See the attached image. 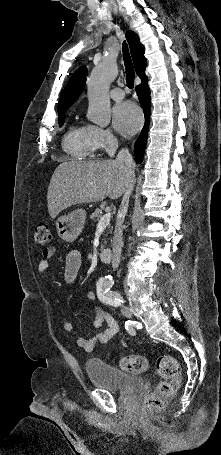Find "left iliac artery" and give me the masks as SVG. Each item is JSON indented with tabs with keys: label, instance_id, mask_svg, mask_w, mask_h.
Returning a JSON list of instances; mask_svg holds the SVG:
<instances>
[{
	"label": "left iliac artery",
	"instance_id": "left-iliac-artery-1",
	"mask_svg": "<svg viewBox=\"0 0 221 455\" xmlns=\"http://www.w3.org/2000/svg\"><path fill=\"white\" fill-rule=\"evenodd\" d=\"M111 286H98L97 287V295L100 301L113 305L115 307L121 305L123 303V299L121 295L115 291L110 290Z\"/></svg>",
	"mask_w": 221,
	"mask_h": 455
}]
</instances>
